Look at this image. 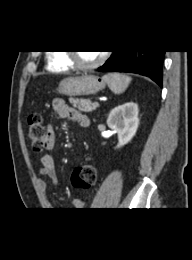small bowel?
Here are the masks:
<instances>
[{
	"label": "small bowel",
	"mask_w": 192,
	"mask_h": 260,
	"mask_svg": "<svg viewBox=\"0 0 192 260\" xmlns=\"http://www.w3.org/2000/svg\"><path fill=\"white\" fill-rule=\"evenodd\" d=\"M52 107L55 113L57 114V116L60 118L70 119L83 127L89 124V119L87 118V116H85L75 108L70 107L61 98H54L52 100ZM47 133H48L47 149H52L55 144V132L51 125H48ZM41 164L42 166L39 168V175L41 177L39 180V185L40 188L45 192L47 188V183L45 181V178L49 179L54 185H57L58 179L56 175L55 161L49 154H45L41 158ZM72 206L76 210H82L86 208L87 203L82 199L76 198L72 201Z\"/></svg>",
	"instance_id": "1"
}]
</instances>
